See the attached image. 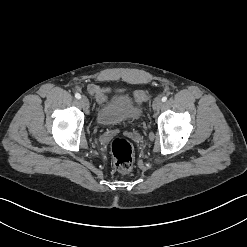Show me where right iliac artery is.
<instances>
[{
    "instance_id": "obj_1",
    "label": "right iliac artery",
    "mask_w": 247,
    "mask_h": 247,
    "mask_svg": "<svg viewBox=\"0 0 247 247\" xmlns=\"http://www.w3.org/2000/svg\"><path fill=\"white\" fill-rule=\"evenodd\" d=\"M75 98L80 99L81 98V95L79 93H76L75 94Z\"/></svg>"
}]
</instances>
